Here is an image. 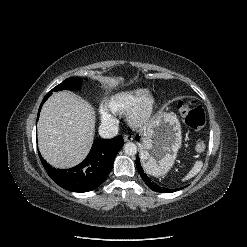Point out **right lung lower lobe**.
<instances>
[{"instance_id": "right-lung-lower-lobe-1", "label": "right lung lower lobe", "mask_w": 247, "mask_h": 247, "mask_svg": "<svg viewBox=\"0 0 247 247\" xmlns=\"http://www.w3.org/2000/svg\"><path fill=\"white\" fill-rule=\"evenodd\" d=\"M51 94H46L39 111ZM123 142L122 136L111 140L95 141L85 160L70 169H56L47 164L41 157L40 159L48 175L59 186L72 192H88L96 189L107 178L112 170L114 158L121 149Z\"/></svg>"}]
</instances>
